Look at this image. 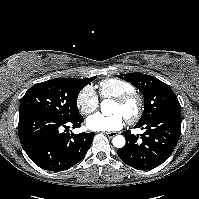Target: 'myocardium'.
<instances>
[{
    "instance_id": "f54148a6",
    "label": "myocardium",
    "mask_w": 199,
    "mask_h": 199,
    "mask_svg": "<svg viewBox=\"0 0 199 199\" xmlns=\"http://www.w3.org/2000/svg\"><path fill=\"white\" fill-rule=\"evenodd\" d=\"M114 102L121 106H127L131 103L134 104V110L127 114L126 119L130 122H136L144 111V99L140 93L132 91L114 98Z\"/></svg>"
}]
</instances>
